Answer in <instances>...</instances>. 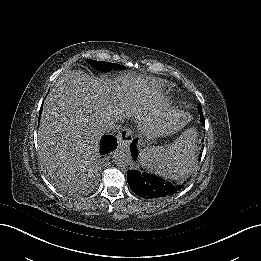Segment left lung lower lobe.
Masks as SVG:
<instances>
[{
	"label": "left lung lower lobe",
	"mask_w": 261,
	"mask_h": 261,
	"mask_svg": "<svg viewBox=\"0 0 261 261\" xmlns=\"http://www.w3.org/2000/svg\"><path fill=\"white\" fill-rule=\"evenodd\" d=\"M131 153L133 159H135L138 154L136 148V140H133L131 144ZM188 172L189 169L183 175V178L186 177ZM127 182L131 190L135 192L138 196L151 200H161L164 198H168L177 193L182 187V185L180 184L182 182L181 179L178 181L179 184H176L175 182L155 177L146 172L138 170L128 171Z\"/></svg>",
	"instance_id": "0a47b994"
}]
</instances>
